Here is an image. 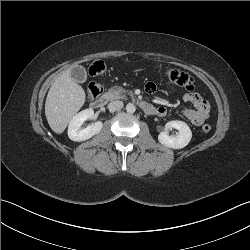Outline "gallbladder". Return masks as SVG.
Masks as SVG:
<instances>
[{"instance_id":"gallbladder-1","label":"gallbladder","mask_w":250,"mask_h":250,"mask_svg":"<svg viewBox=\"0 0 250 250\" xmlns=\"http://www.w3.org/2000/svg\"><path fill=\"white\" fill-rule=\"evenodd\" d=\"M71 78L78 82V83H83L86 81L87 74L86 70L83 66H75L71 69Z\"/></svg>"}]
</instances>
